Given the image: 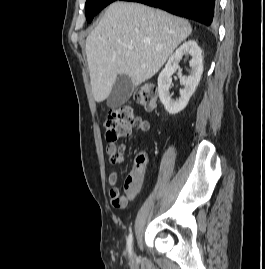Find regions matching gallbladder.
<instances>
[{"label":"gallbladder","instance_id":"bac80fb5","mask_svg":"<svg viewBox=\"0 0 265 269\" xmlns=\"http://www.w3.org/2000/svg\"><path fill=\"white\" fill-rule=\"evenodd\" d=\"M134 85L131 79L126 75H120L107 98V106L109 108H118L123 105L132 95Z\"/></svg>","mask_w":265,"mask_h":269}]
</instances>
